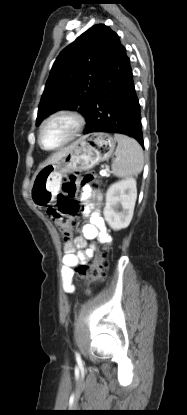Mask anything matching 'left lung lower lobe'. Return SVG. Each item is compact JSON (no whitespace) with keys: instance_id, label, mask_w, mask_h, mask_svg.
Segmentation results:
<instances>
[{"instance_id":"1","label":"left lung lower lobe","mask_w":187,"mask_h":415,"mask_svg":"<svg viewBox=\"0 0 187 415\" xmlns=\"http://www.w3.org/2000/svg\"><path fill=\"white\" fill-rule=\"evenodd\" d=\"M92 102L93 115L86 119L84 134L93 132L126 134L136 139L144 148L140 105L133 72L130 59L119 37L95 87Z\"/></svg>"}]
</instances>
